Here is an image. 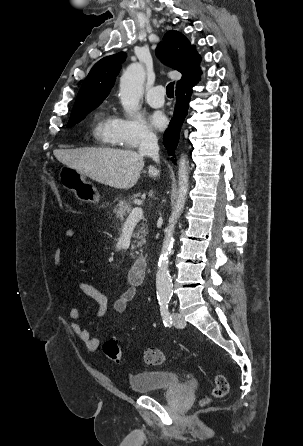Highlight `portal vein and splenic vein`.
Segmentation results:
<instances>
[{"label":"portal vein and splenic vein","instance_id":"18ae733b","mask_svg":"<svg viewBox=\"0 0 303 446\" xmlns=\"http://www.w3.org/2000/svg\"><path fill=\"white\" fill-rule=\"evenodd\" d=\"M143 217V210L140 207H135L129 214L125 225L137 223Z\"/></svg>","mask_w":303,"mask_h":446}]
</instances>
